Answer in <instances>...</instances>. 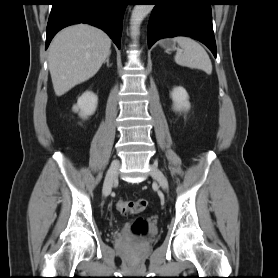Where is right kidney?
<instances>
[{
    "label": "right kidney",
    "mask_w": 278,
    "mask_h": 278,
    "mask_svg": "<svg viewBox=\"0 0 278 278\" xmlns=\"http://www.w3.org/2000/svg\"><path fill=\"white\" fill-rule=\"evenodd\" d=\"M97 102V96L91 91H86L78 98L77 104L73 106V111L79 112L82 118H87L94 114Z\"/></svg>",
    "instance_id": "ca27d5eb"
}]
</instances>
